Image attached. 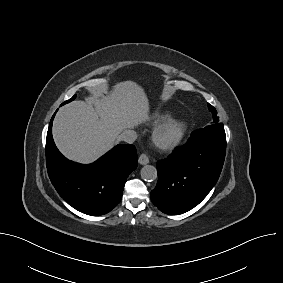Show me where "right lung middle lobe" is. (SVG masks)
Listing matches in <instances>:
<instances>
[{"label": "right lung middle lobe", "mask_w": 283, "mask_h": 283, "mask_svg": "<svg viewBox=\"0 0 283 283\" xmlns=\"http://www.w3.org/2000/svg\"><path fill=\"white\" fill-rule=\"evenodd\" d=\"M75 97H76V95H74V96H73L70 100L65 101L63 104L68 103V102H70V101L74 100V99H75ZM63 104H62V105H63Z\"/></svg>", "instance_id": "dd1d6c3e"}]
</instances>
